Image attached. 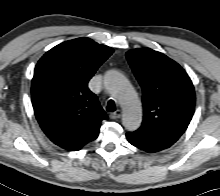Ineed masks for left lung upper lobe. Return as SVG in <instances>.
Wrapping results in <instances>:
<instances>
[{
    "instance_id": "left-lung-upper-lobe-1",
    "label": "left lung upper lobe",
    "mask_w": 220,
    "mask_h": 196,
    "mask_svg": "<svg viewBox=\"0 0 220 196\" xmlns=\"http://www.w3.org/2000/svg\"><path fill=\"white\" fill-rule=\"evenodd\" d=\"M126 57L143 90V122L133 133L160 150L167 149L192 119V81L175 61L150 48L130 50Z\"/></svg>"
}]
</instances>
